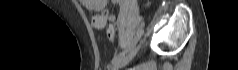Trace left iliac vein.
<instances>
[{
	"instance_id": "4c4485c4",
	"label": "left iliac vein",
	"mask_w": 238,
	"mask_h": 70,
	"mask_svg": "<svg viewBox=\"0 0 238 70\" xmlns=\"http://www.w3.org/2000/svg\"><path fill=\"white\" fill-rule=\"evenodd\" d=\"M137 50H138V48H135L134 50L131 51V53L128 56L123 57L117 63L112 65L111 70H118L119 68L126 65L132 59V57L136 54Z\"/></svg>"
}]
</instances>
